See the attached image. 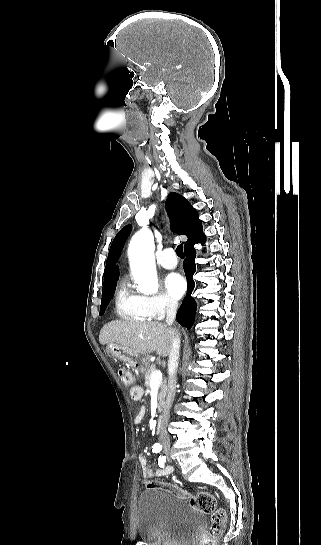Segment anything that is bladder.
Here are the masks:
<instances>
[{"mask_svg": "<svg viewBox=\"0 0 321 545\" xmlns=\"http://www.w3.org/2000/svg\"><path fill=\"white\" fill-rule=\"evenodd\" d=\"M205 525L203 512L164 489L146 490L138 498V535L148 545H191Z\"/></svg>", "mask_w": 321, "mask_h": 545, "instance_id": "1", "label": "bladder"}]
</instances>
